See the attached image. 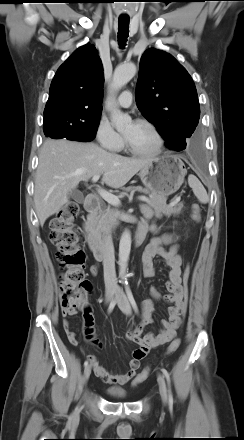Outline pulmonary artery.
I'll list each match as a JSON object with an SVG mask.
<instances>
[{"label": "pulmonary artery", "instance_id": "1", "mask_svg": "<svg viewBox=\"0 0 244 440\" xmlns=\"http://www.w3.org/2000/svg\"><path fill=\"white\" fill-rule=\"evenodd\" d=\"M132 104V93L130 91H123L118 98V105L123 108H128Z\"/></svg>", "mask_w": 244, "mask_h": 440}]
</instances>
